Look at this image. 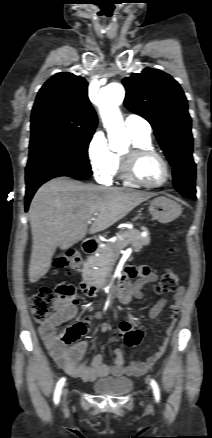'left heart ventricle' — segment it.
<instances>
[{"instance_id": "left-heart-ventricle-1", "label": "left heart ventricle", "mask_w": 212, "mask_h": 438, "mask_svg": "<svg viewBox=\"0 0 212 438\" xmlns=\"http://www.w3.org/2000/svg\"><path fill=\"white\" fill-rule=\"evenodd\" d=\"M135 171L140 180L151 184L160 183L165 177L161 161L154 156L141 158L136 165Z\"/></svg>"}]
</instances>
